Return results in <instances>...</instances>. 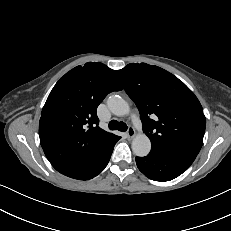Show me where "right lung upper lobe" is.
Returning a JSON list of instances; mask_svg holds the SVG:
<instances>
[{
  "label": "right lung upper lobe",
  "mask_w": 231,
  "mask_h": 231,
  "mask_svg": "<svg viewBox=\"0 0 231 231\" xmlns=\"http://www.w3.org/2000/svg\"><path fill=\"white\" fill-rule=\"evenodd\" d=\"M122 90L116 71L88 62L66 73L43 107L39 137L44 153L60 173L95 157L116 135L98 126V105Z\"/></svg>",
  "instance_id": "cb5924a9"
}]
</instances>
